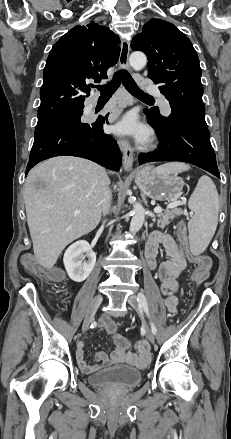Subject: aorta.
<instances>
[{
  "label": "aorta",
  "mask_w": 231,
  "mask_h": 439,
  "mask_svg": "<svg viewBox=\"0 0 231 439\" xmlns=\"http://www.w3.org/2000/svg\"><path fill=\"white\" fill-rule=\"evenodd\" d=\"M129 63L134 70L139 71L145 67L147 57L143 52L136 51L130 55ZM129 202L133 204V217L130 222V231L138 232L143 226L146 211L135 199L130 198Z\"/></svg>",
  "instance_id": "aorta-1"
}]
</instances>
